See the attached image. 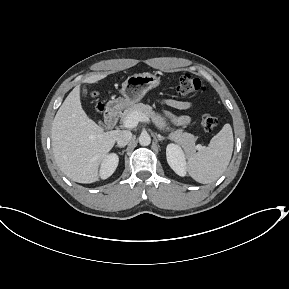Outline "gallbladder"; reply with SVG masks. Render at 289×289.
I'll return each mask as SVG.
<instances>
[{
    "label": "gallbladder",
    "instance_id": "obj_1",
    "mask_svg": "<svg viewBox=\"0 0 289 289\" xmlns=\"http://www.w3.org/2000/svg\"><path fill=\"white\" fill-rule=\"evenodd\" d=\"M83 93H84V94L86 93V89L83 90Z\"/></svg>",
    "mask_w": 289,
    "mask_h": 289
}]
</instances>
